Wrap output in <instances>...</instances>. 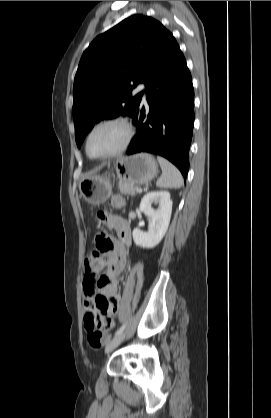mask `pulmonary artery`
<instances>
[{
  "mask_svg": "<svg viewBox=\"0 0 271 418\" xmlns=\"http://www.w3.org/2000/svg\"><path fill=\"white\" fill-rule=\"evenodd\" d=\"M137 91H142L143 92V98L144 99L146 98V87H145V84L142 83V84L138 85Z\"/></svg>",
  "mask_w": 271,
  "mask_h": 418,
  "instance_id": "1",
  "label": "pulmonary artery"
}]
</instances>
